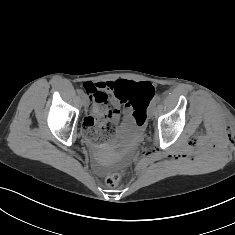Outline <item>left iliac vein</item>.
Instances as JSON below:
<instances>
[{"instance_id":"4c4485c4","label":"left iliac vein","mask_w":235,"mask_h":235,"mask_svg":"<svg viewBox=\"0 0 235 235\" xmlns=\"http://www.w3.org/2000/svg\"><path fill=\"white\" fill-rule=\"evenodd\" d=\"M154 113H155V108H154V104H152L149 110V117H152Z\"/></svg>"}]
</instances>
